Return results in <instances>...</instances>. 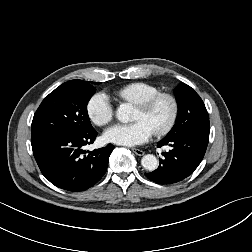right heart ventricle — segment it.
<instances>
[{"instance_id": "right-heart-ventricle-1", "label": "right heart ventricle", "mask_w": 252, "mask_h": 252, "mask_svg": "<svg viewBox=\"0 0 252 252\" xmlns=\"http://www.w3.org/2000/svg\"><path fill=\"white\" fill-rule=\"evenodd\" d=\"M159 92V89L151 84L135 82L123 86L115 94L123 100L139 105Z\"/></svg>"}]
</instances>
